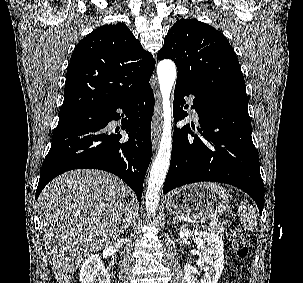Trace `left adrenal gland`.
<instances>
[{
	"instance_id": "obj_1",
	"label": "left adrenal gland",
	"mask_w": 303,
	"mask_h": 283,
	"mask_svg": "<svg viewBox=\"0 0 303 283\" xmlns=\"http://www.w3.org/2000/svg\"><path fill=\"white\" fill-rule=\"evenodd\" d=\"M177 222H179L178 219L173 218L172 224H176Z\"/></svg>"
}]
</instances>
